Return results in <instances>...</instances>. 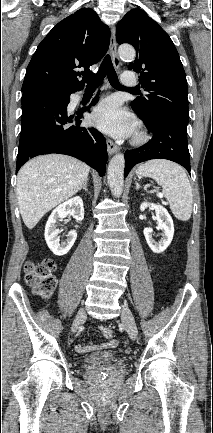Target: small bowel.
<instances>
[{
    "label": "small bowel",
    "instance_id": "1",
    "mask_svg": "<svg viewBox=\"0 0 213 433\" xmlns=\"http://www.w3.org/2000/svg\"><path fill=\"white\" fill-rule=\"evenodd\" d=\"M117 346L116 340H110L103 344H77L75 350L79 353H86L98 348H114Z\"/></svg>",
    "mask_w": 213,
    "mask_h": 433
}]
</instances>
